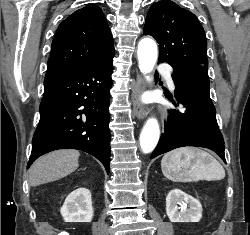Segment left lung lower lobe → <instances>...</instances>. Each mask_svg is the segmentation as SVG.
<instances>
[{
	"instance_id": "0a47b994",
	"label": "left lung lower lobe",
	"mask_w": 250,
	"mask_h": 235,
	"mask_svg": "<svg viewBox=\"0 0 250 235\" xmlns=\"http://www.w3.org/2000/svg\"><path fill=\"white\" fill-rule=\"evenodd\" d=\"M172 78L181 109L170 113L164 134L151 158L175 148L196 146L213 150L226 163L224 140L209 94L207 69L203 66L177 69L173 71Z\"/></svg>"
}]
</instances>
